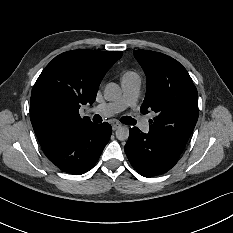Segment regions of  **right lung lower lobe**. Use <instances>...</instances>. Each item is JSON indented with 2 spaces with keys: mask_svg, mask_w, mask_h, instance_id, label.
Instances as JSON below:
<instances>
[{
  "mask_svg": "<svg viewBox=\"0 0 233 233\" xmlns=\"http://www.w3.org/2000/svg\"><path fill=\"white\" fill-rule=\"evenodd\" d=\"M112 133L110 124H88L40 144L43 152L59 169L79 175L98 161Z\"/></svg>",
  "mask_w": 233,
  "mask_h": 233,
  "instance_id": "right-lung-lower-lobe-1",
  "label": "right lung lower lobe"
}]
</instances>
